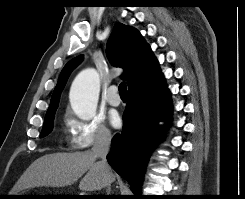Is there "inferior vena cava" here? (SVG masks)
<instances>
[{
	"label": "inferior vena cava",
	"instance_id": "inferior-vena-cava-1",
	"mask_svg": "<svg viewBox=\"0 0 245 199\" xmlns=\"http://www.w3.org/2000/svg\"><path fill=\"white\" fill-rule=\"evenodd\" d=\"M112 136L109 131H99L94 145L91 149L92 153L96 158H100L101 160L98 161V165L101 168L103 177L107 186H109V177H110V167L107 163L106 156L109 152L110 145H111Z\"/></svg>",
	"mask_w": 245,
	"mask_h": 199
}]
</instances>
